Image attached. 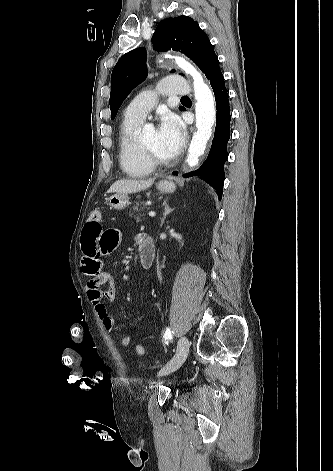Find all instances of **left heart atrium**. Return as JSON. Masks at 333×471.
<instances>
[{"label":"left heart atrium","mask_w":333,"mask_h":471,"mask_svg":"<svg viewBox=\"0 0 333 471\" xmlns=\"http://www.w3.org/2000/svg\"><path fill=\"white\" fill-rule=\"evenodd\" d=\"M157 131L162 149L170 157L177 155L185 142V131L180 120L172 113H165Z\"/></svg>","instance_id":"39dd6f15"}]
</instances>
